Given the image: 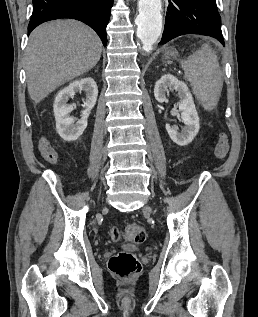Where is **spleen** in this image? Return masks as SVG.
<instances>
[{
	"instance_id": "3e777b00",
	"label": "spleen",
	"mask_w": 258,
	"mask_h": 317,
	"mask_svg": "<svg viewBox=\"0 0 258 317\" xmlns=\"http://www.w3.org/2000/svg\"><path fill=\"white\" fill-rule=\"evenodd\" d=\"M181 66L184 68V78L190 80L196 98L205 110H213L217 106L223 80L218 58L211 46L202 44L187 60H181Z\"/></svg>"
}]
</instances>
